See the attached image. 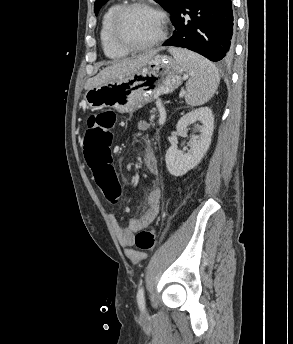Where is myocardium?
I'll return each instance as SVG.
<instances>
[{
	"label": "myocardium",
	"mask_w": 293,
	"mask_h": 344,
	"mask_svg": "<svg viewBox=\"0 0 293 344\" xmlns=\"http://www.w3.org/2000/svg\"><path fill=\"white\" fill-rule=\"evenodd\" d=\"M137 8H141V9H145L148 10L152 13H154L155 15H157V17L160 20L161 23V30L159 35L154 38L153 40L144 43V44H134L129 42L125 36L122 33V22L126 16V14L133 10V9H137ZM111 34H112V39L114 41V43L128 51V52H141V51H145L148 49H151L157 45H159L160 43H162L167 35H168V18L166 16V14L159 9L158 7L148 3L145 0H132L129 3L123 4L115 13L113 20H112V25H111Z\"/></svg>",
	"instance_id": "f54148a6"
}]
</instances>
